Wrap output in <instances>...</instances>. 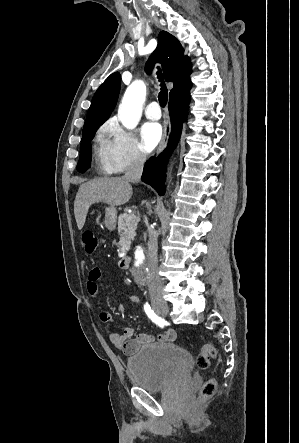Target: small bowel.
<instances>
[{
    "label": "small bowel",
    "instance_id": "obj_1",
    "mask_svg": "<svg viewBox=\"0 0 299 443\" xmlns=\"http://www.w3.org/2000/svg\"><path fill=\"white\" fill-rule=\"evenodd\" d=\"M101 278V270L99 268H92L89 271L88 279H87V290L89 294L94 297L99 295L98 288V280ZM129 301L140 303L141 299L137 295H130ZM99 319L102 322H110L112 321V315L109 312L101 311L99 313ZM176 339V332L172 329L165 331L163 334L154 337L152 335L146 333H140L135 335L134 329L131 327H126L122 332H112L109 335L110 342L117 347L118 349H122L125 354L131 355L135 353L141 346L160 342H172Z\"/></svg>",
    "mask_w": 299,
    "mask_h": 443
}]
</instances>
